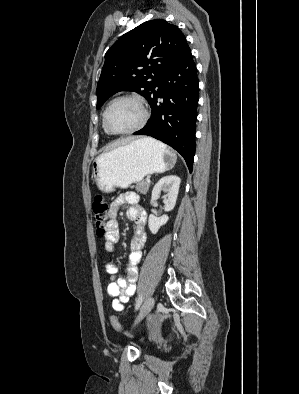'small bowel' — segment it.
<instances>
[{"mask_svg":"<svg viewBox=\"0 0 299 394\" xmlns=\"http://www.w3.org/2000/svg\"><path fill=\"white\" fill-rule=\"evenodd\" d=\"M139 197L135 192L127 191L115 198L109 209V220L106 224L105 250L113 253L115 244L120 237L117 216L122 206L128 204L126 216L135 224L133 237L130 242V253L125 269V276L116 279L118 267L115 263L109 262L105 265V270L109 275L110 283L107 286V293L113 297V308L117 311L123 310L122 303L128 301L129 297L135 294L136 281L138 278V264L142 258V249L147 239L146 222L147 215L142 206L138 204Z\"/></svg>","mask_w":299,"mask_h":394,"instance_id":"1","label":"small bowel"}]
</instances>
